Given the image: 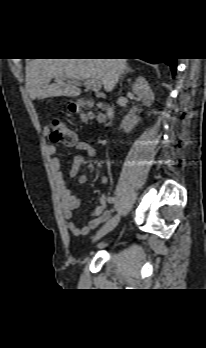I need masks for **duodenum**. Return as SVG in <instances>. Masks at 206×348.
Returning <instances> with one entry per match:
<instances>
[{
    "label": "duodenum",
    "mask_w": 206,
    "mask_h": 348,
    "mask_svg": "<svg viewBox=\"0 0 206 348\" xmlns=\"http://www.w3.org/2000/svg\"><path fill=\"white\" fill-rule=\"evenodd\" d=\"M104 109H105L107 115L109 116V118H112L113 117L112 109L109 106H105Z\"/></svg>",
    "instance_id": "duodenum-1"
}]
</instances>
